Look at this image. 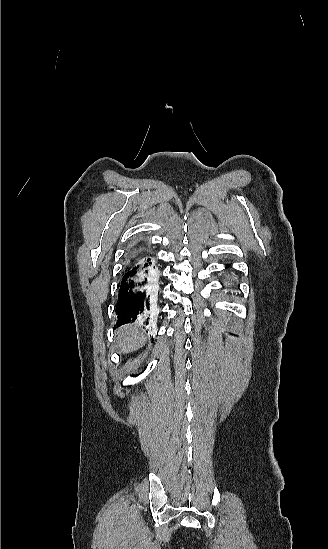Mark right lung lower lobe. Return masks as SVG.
<instances>
[{
  "label": "right lung lower lobe",
  "mask_w": 328,
  "mask_h": 549,
  "mask_svg": "<svg viewBox=\"0 0 328 549\" xmlns=\"http://www.w3.org/2000/svg\"><path fill=\"white\" fill-rule=\"evenodd\" d=\"M130 250L129 264L122 278L116 315L118 326L136 320L149 324L147 311L150 306V292L156 288L157 267L155 260L149 256L134 259ZM133 261V262H131Z\"/></svg>",
  "instance_id": "right-lung-lower-lobe-1"
}]
</instances>
